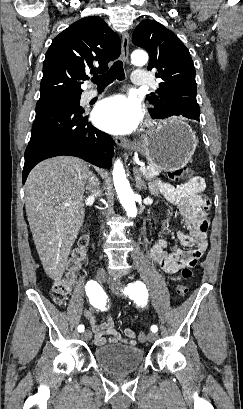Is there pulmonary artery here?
Masks as SVG:
<instances>
[{"instance_id":"pulmonary-artery-1","label":"pulmonary artery","mask_w":243,"mask_h":409,"mask_svg":"<svg viewBox=\"0 0 243 409\" xmlns=\"http://www.w3.org/2000/svg\"><path fill=\"white\" fill-rule=\"evenodd\" d=\"M132 83L136 86H146L148 84L147 73L142 70H135L132 74ZM97 94L96 90H88L83 94V99L89 101Z\"/></svg>"}]
</instances>
